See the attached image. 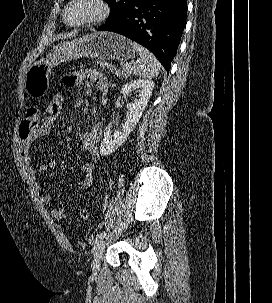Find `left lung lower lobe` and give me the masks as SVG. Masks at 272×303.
Listing matches in <instances>:
<instances>
[{
    "mask_svg": "<svg viewBox=\"0 0 272 303\" xmlns=\"http://www.w3.org/2000/svg\"><path fill=\"white\" fill-rule=\"evenodd\" d=\"M187 0H138L99 31L124 35L150 50L169 72L186 25Z\"/></svg>",
    "mask_w": 272,
    "mask_h": 303,
    "instance_id": "left-lung-lower-lobe-1",
    "label": "left lung lower lobe"
}]
</instances>
